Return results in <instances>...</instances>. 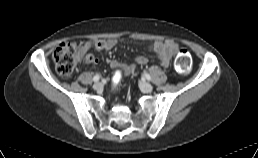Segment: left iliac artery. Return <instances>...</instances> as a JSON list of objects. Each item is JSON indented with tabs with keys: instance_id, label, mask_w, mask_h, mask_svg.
Listing matches in <instances>:
<instances>
[{
	"instance_id": "obj_1",
	"label": "left iliac artery",
	"mask_w": 258,
	"mask_h": 158,
	"mask_svg": "<svg viewBox=\"0 0 258 158\" xmlns=\"http://www.w3.org/2000/svg\"><path fill=\"white\" fill-rule=\"evenodd\" d=\"M143 76L147 79V80H151V77H150V75L148 74V73H146V72H144L143 73Z\"/></svg>"
}]
</instances>
